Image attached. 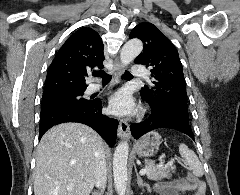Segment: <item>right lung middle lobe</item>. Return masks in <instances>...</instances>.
Masks as SVG:
<instances>
[{
    "mask_svg": "<svg viewBox=\"0 0 240 195\" xmlns=\"http://www.w3.org/2000/svg\"><path fill=\"white\" fill-rule=\"evenodd\" d=\"M85 89L75 91H62L42 96L41 107L45 108L56 104H86L88 100L82 98Z\"/></svg>",
    "mask_w": 240,
    "mask_h": 195,
    "instance_id": "dd1d6c3e",
    "label": "right lung middle lobe"
}]
</instances>
